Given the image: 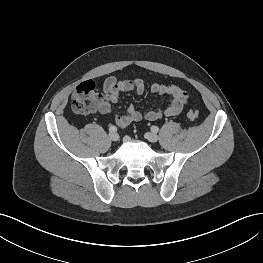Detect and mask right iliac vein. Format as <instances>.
Returning <instances> with one entry per match:
<instances>
[{"label":"right iliac vein","mask_w":263,"mask_h":263,"mask_svg":"<svg viewBox=\"0 0 263 263\" xmlns=\"http://www.w3.org/2000/svg\"><path fill=\"white\" fill-rule=\"evenodd\" d=\"M109 138L112 140V141H118L119 140V135L115 132H110L109 133Z\"/></svg>","instance_id":"obj_1"}]
</instances>
